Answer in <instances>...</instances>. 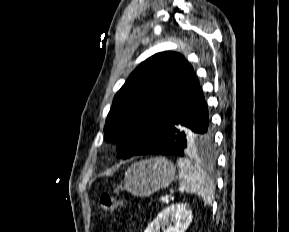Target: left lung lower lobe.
<instances>
[{
	"mask_svg": "<svg viewBox=\"0 0 289 232\" xmlns=\"http://www.w3.org/2000/svg\"><path fill=\"white\" fill-rule=\"evenodd\" d=\"M213 147V130L207 104L197 83L185 96L165 125L134 155L184 156Z\"/></svg>",
	"mask_w": 289,
	"mask_h": 232,
	"instance_id": "1",
	"label": "left lung lower lobe"
}]
</instances>
